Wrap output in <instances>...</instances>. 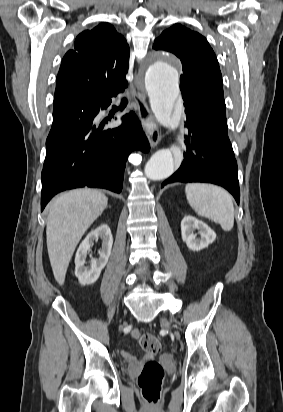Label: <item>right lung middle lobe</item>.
Here are the masks:
<instances>
[{
	"label": "right lung middle lobe",
	"instance_id": "dd1d6c3e",
	"mask_svg": "<svg viewBox=\"0 0 283 412\" xmlns=\"http://www.w3.org/2000/svg\"><path fill=\"white\" fill-rule=\"evenodd\" d=\"M87 105H88V102L77 103L76 105H74L72 108H70L68 110H64V111L59 112L57 114H53V117H54V119H62L67 114H69L71 112H74V111L81 110L82 108L86 107Z\"/></svg>",
	"mask_w": 283,
	"mask_h": 412
}]
</instances>
